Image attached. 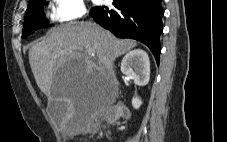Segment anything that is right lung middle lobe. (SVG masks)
<instances>
[{"mask_svg":"<svg viewBox=\"0 0 227 142\" xmlns=\"http://www.w3.org/2000/svg\"><path fill=\"white\" fill-rule=\"evenodd\" d=\"M44 3L45 0H33L28 3V7L25 13L22 38L30 35L37 29L48 24V20L45 18L43 12Z\"/></svg>","mask_w":227,"mask_h":142,"instance_id":"obj_1","label":"right lung middle lobe"}]
</instances>
